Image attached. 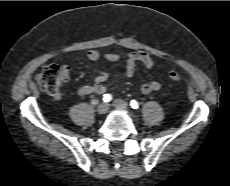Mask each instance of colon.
Here are the masks:
<instances>
[{"instance_id": "obj_1", "label": "colon", "mask_w": 230, "mask_h": 186, "mask_svg": "<svg viewBox=\"0 0 230 186\" xmlns=\"http://www.w3.org/2000/svg\"><path fill=\"white\" fill-rule=\"evenodd\" d=\"M168 77L172 81H179L181 74L178 71L172 70L169 71ZM36 81L42 91L52 95L58 94L62 84V77L58 66L53 63L44 64L36 77Z\"/></svg>"}]
</instances>
